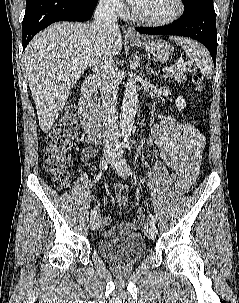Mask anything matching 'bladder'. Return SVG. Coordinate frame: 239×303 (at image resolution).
I'll use <instances>...</instances> for the list:
<instances>
[{
  "mask_svg": "<svg viewBox=\"0 0 239 303\" xmlns=\"http://www.w3.org/2000/svg\"><path fill=\"white\" fill-rule=\"evenodd\" d=\"M100 254L122 266L132 265L145 253L146 247L139 233H129L98 244Z\"/></svg>",
  "mask_w": 239,
  "mask_h": 303,
  "instance_id": "31cf9c89",
  "label": "bladder"
}]
</instances>
